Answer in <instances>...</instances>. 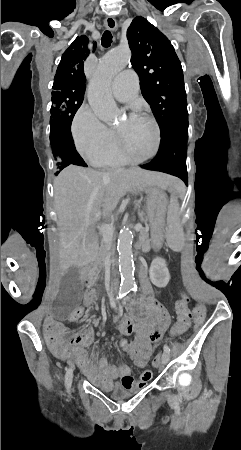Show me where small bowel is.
<instances>
[{"label":"small bowel","mask_w":241,"mask_h":450,"mask_svg":"<svg viewBox=\"0 0 241 450\" xmlns=\"http://www.w3.org/2000/svg\"><path fill=\"white\" fill-rule=\"evenodd\" d=\"M97 292L92 284L86 287L84 294V304L92 307ZM151 316H138L136 318L137 324H129L130 320L119 321V329L123 334L136 333L134 341L129 344V347L134 349V354L128 356L129 359L135 363H141L142 360H149V356L153 355L154 347L151 343L157 344L162 339V330L168 329L169 321H172L171 316H166V310L162 303H156L154 298H147L144 301ZM42 319H49L51 312L49 310H42L40 312ZM45 333L46 345L49 348L58 347L56 354L64 359H74L77 362L79 369L88 377V379L104 389H109L115 379L120 378L121 385L127 390L135 388H143L147 386L153 379V373L150 370H145L141 373L139 382H135L130 375V367L126 363L111 364L106 357H98L91 355L87 357L83 353V348L93 342L94 332L91 327H86L73 334L74 343L76 347H70L67 344L58 346L59 342L55 340V335L62 331L61 322L58 320H49L46 322ZM139 325H151L147 331L139 329ZM178 331L182 334L185 330H171ZM73 332L71 329L68 331ZM68 335L70 339L72 336ZM149 336H158L156 341H151ZM139 357L140 361L136 362L135 358Z\"/></svg>","instance_id":"c3829d8e"}]
</instances>
